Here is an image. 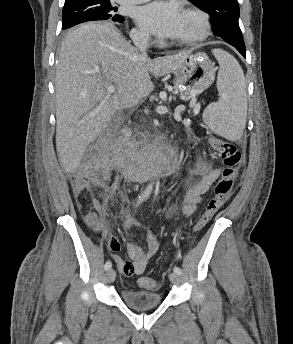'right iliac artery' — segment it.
I'll use <instances>...</instances> for the list:
<instances>
[{
    "label": "right iliac artery",
    "mask_w": 293,
    "mask_h": 344,
    "mask_svg": "<svg viewBox=\"0 0 293 344\" xmlns=\"http://www.w3.org/2000/svg\"><path fill=\"white\" fill-rule=\"evenodd\" d=\"M145 198L142 196L139 198L138 204H140ZM112 267L111 261H107L104 265L105 270H109Z\"/></svg>",
    "instance_id": "82829eb1"
}]
</instances>
